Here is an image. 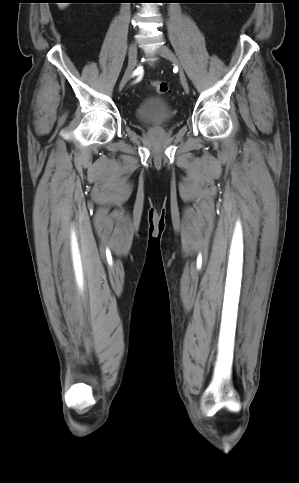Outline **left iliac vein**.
Listing matches in <instances>:
<instances>
[{"label":"left iliac vein","mask_w":299,"mask_h":483,"mask_svg":"<svg viewBox=\"0 0 299 483\" xmlns=\"http://www.w3.org/2000/svg\"><path fill=\"white\" fill-rule=\"evenodd\" d=\"M158 54L161 55L162 57L166 58L173 65H175L179 68V77H180L182 87L184 88V90L186 92H189V85H188L186 75H185L183 69L180 67L179 62H178L176 56L173 54V52L167 46L162 45L158 49Z\"/></svg>","instance_id":"1"}]
</instances>
